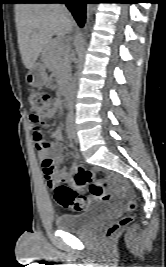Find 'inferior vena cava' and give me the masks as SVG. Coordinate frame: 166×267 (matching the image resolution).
<instances>
[{"label":"inferior vena cava","instance_id":"602c4592","mask_svg":"<svg viewBox=\"0 0 166 267\" xmlns=\"http://www.w3.org/2000/svg\"><path fill=\"white\" fill-rule=\"evenodd\" d=\"M64 7V6H63ZM65 8V7H64ZM74 89H75V83H74V81H73V83H72V86H71V94L73 93V91H74Z\"/></svg>","mask_w":166,"mask_h":267}]
</instances>
